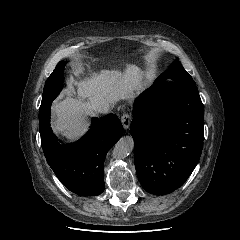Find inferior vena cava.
<instances>
[{
	"instance_id": "602c4592",
	"label": "inferior vena cava",
	"mask_w": 240,
	"mask_h": 240,
	"mask_svg": "<svg viewBox=\"0 0 240 240\" xmlns=\"http://www.w3.org/2000/svg\"><path fill=\"white\" fill-rule=\"evenodd\" d=\"M89 108L100 114H106L110 109V102L102 99H94L89 103Z\"/></svg>"
}]
</instances>
